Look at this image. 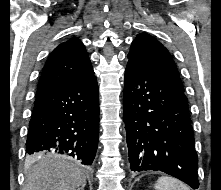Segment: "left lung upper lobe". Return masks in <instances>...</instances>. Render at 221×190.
Segmentation results:
<instances>
[{
    "label": "left lung upper lobe",
    "instance_id": "obj_1",
    "mask_svg": "<svg viewBox=\"0 0 221 190\" xmlns=\"http://www.w3.org/2000/svg\"><path fill=\"white\" fill-rule=\"evenodd\" d=\"M128 59L157 72L184 91L179 72L170 53L151 35L146 33L137 35L131 44Z\"/></svg>",
    "mask_w": 221,
    "mask_h": 190
}]
</instances>
